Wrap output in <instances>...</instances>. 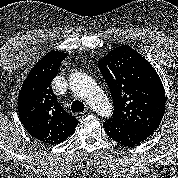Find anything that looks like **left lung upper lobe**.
Here are the masks:
<instances>
[{
    "label": "left lung upper lobe",
    "mask_w": 178,
    "mask_h": 178,
    "mask_svg": "<svg viewBox=\"0 0 178 178\" xmlns=\"http://www.w3.org/2000/svg\"><path fill=\"white\" fill-rule=\"evenodd\" d=\"M110 89L114 112L110 119L158 128L165 112V91L152 65L124 45L98 61Z\"/></svg>",
    "instance_id": "5c2ea615"
}]
</instances>
